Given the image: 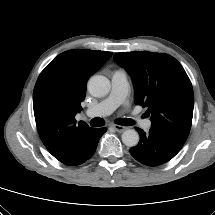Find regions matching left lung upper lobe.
Segmentation results:
<instances>
[{
    "mask_svg": "<svg viewBox=\"0 0 215 215\" xmlns=\"http://www.w3.org/2000/svg\"><path fill=\"white\" fill-rule=\"evenodd\" d=\"M114 60L132 77L135 104L148 108L151 128L184 145L192 123L194 94L181 64L168 54L148 51L117 53Z\"/></svg>",
    "mask_w": 215,
    "mask_h": 215,
    "instance_id": "left-lung-upper-lobe-1",
    "label": "left lung upper lobe"
}]
</instances>
